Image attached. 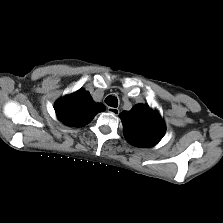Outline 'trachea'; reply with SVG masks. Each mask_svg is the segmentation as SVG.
<instances>
[{
    "instance_id": "obj_1",
    "label": "trachea",
    "mask_w": 223,
    "mask_h": 223,
    "mask_svg": "<svg viewBox=\"0 0 223 223\" xmlns=\"http://www.w3.org/2000/svg\"><path fill=\"white\" fill-rule=\"evenodd\" d=\"M105 103L111 107H117L118 106V100L116 97L109 95L105 99Z\"/></svg>"
}]
</instances>
